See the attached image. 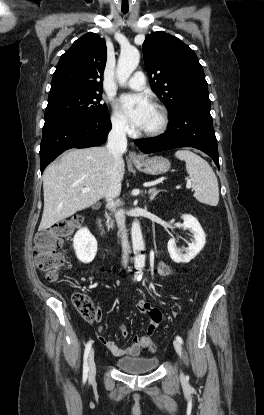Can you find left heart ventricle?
Masks as SVG:
<instances>
[{"label":"left heart ventricle","instance_id":"1","mask_svg":"<svg viewBox=\"0 0 264 415\" xmlns=\"http://www.w3.org/2000/svg\"><path fill=\"white\" fill-rule=\"evenodd\" d=\"M158 123H159V113L156 109L153 108L142 130L154 129L158 125Z\"/></svg>","mask_w":264,"mask_h":415}]
</instances>
